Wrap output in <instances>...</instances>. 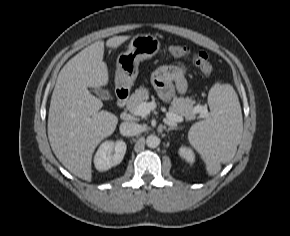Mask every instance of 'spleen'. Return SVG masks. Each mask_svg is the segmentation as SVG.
<instances>
[{"mask_svg": "<svg viewBox=\"0 0 290 236\" xmlns=\"http://www.w3.org/2000/svg\"><path fill=\"white\" fill-rule=\"evenodd\" d=\"M208 104L210 116L191 126L188 140L206 163L208 174L215 175L221 163L235 156L243 119L238 96L230 84L216 83L209 91Z\"/></svg>", "mask_w": 290, "mask_h": 236, "instance_id": "3e777b00", "label": "spleen"}]
</instances>
